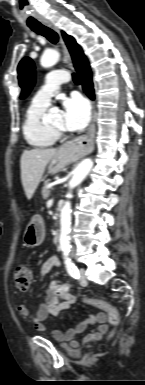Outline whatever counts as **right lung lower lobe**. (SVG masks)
<instances>
[{"mask_svg": "<svg viewBox=\"0 0 145 385\" xmlns=\"http://www.w3.org/2000/svg\"><path fill=\"white\" fill-rule=\"evenodd\" d=\"M79 75L82 78L83 89L89 98L94 99V89L92 82V74L89 67V64H85L81 67V69L77 70Z\"/></svg>", "mask_w": 145, "mask_h": 385, "instance_id": "obj_1", "label": "right lung lower lobe"}]
</instances>
